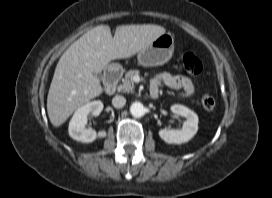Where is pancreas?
<instances>
[{
    "label": "pancreas",
    "instance_id": "obj_1",
    "mask_svg": "<svg viewBox=\"0 0 272 198\" xmlns=\"http://www.w3.org/2000/svg\"><path fill=\"white\" fill-rule=\"evenodd\" d=\"M140 71L138 69L129 70L125 77L122 79V84L118 86V90L124 93L134 92V81L133 77L139 75Z\"/></svg>",
    "mask_w": 272,
    "mask_h": 198
}]
</instances>
